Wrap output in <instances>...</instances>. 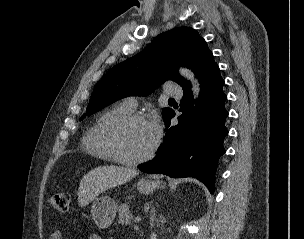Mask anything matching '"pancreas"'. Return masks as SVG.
Returning <instances> with one entry per match:
<instances>
[{
    "label": "pancreas",
    "instance_id": "1",
    "mask_svg": "<svg viewBox=\"0 0 304 239\" xmlns=\"http://www.w3.org/2000/svg\"><path fill=\"white\" fill-rule=\"evenodd\" d=\"M133 219L132 214L129 211L128 203H123L120 205L119 209V219L118 222L122 225L130 224L131 220Z\"/></svg>",
    "mask_w": 304,
    "mask_h": 239
}]
</instances>
